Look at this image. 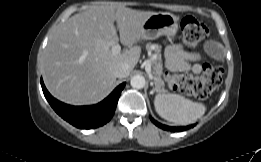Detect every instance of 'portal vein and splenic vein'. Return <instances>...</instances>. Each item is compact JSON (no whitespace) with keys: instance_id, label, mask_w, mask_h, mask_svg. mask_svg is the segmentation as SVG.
<instances>
[{"instance_id":"18ae733b","label":"portal vein and splenic vein","mask_w":261,"mask_h":162,"mask_svg":"<svg viewBox=\"0 0 261 162\" xmlns=\"http://www.w3.org/2000/svg\"><path fill=\"white\" fill-rule=\"evenodd\" d=\"M111 51H112V54L114 55H117L120 53L121 51V46L119 44H116L114 45L112 48H111ZM145 70L149 76L150 79H154L152 73H151V64H150V60L147 61L146 63V67H145Z\"/></svg>"}]
</instances>
